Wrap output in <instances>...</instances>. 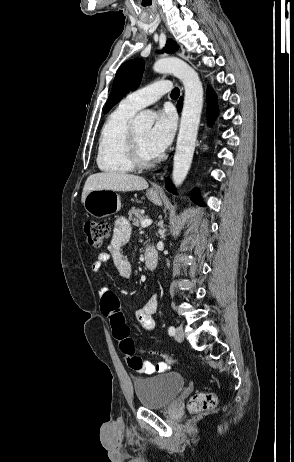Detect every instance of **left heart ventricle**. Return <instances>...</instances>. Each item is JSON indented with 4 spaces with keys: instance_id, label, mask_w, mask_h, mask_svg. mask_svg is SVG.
I'll return each instance as SVG.
<instances>
[{
    "instance_id": "b2bd125f",
    "label": "left heart ventricle",
    "mask_w": 294,
    "mask_h": 462,
    "mask_svg": "<svg viewBox=\"0 0 294 462\" xmlns=\"http://www.w3.org/2000/svg\"><path fill=\"white\" fill-rule=\"evenodd\" d=\"M149 131L150 129L147 127L146 128H134V132L137 137V141L139 143L141 152L147 158H151L154 156V154L150 151L148 144H147V138H148Z\"/></svg>"
}]
</instances>
